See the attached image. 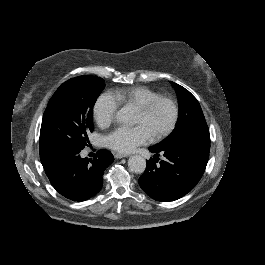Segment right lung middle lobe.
<instances>
[{
    "label": "right lung middle lobe",
    "instance_id": "dd1d6c3e",
    "mask_svg": "<svg viewBox=\"0 0 265 265\" xmlns=\"http://www.w3.org/2000/svg\"><path fill=\"white\" fill-rule=\"evenodd\" d=\"M104 80L79 76L64 82L53 94L43 115L40 160L78 154L94 130L92 111Z\"/></svg>",
    "mask_w": 265,
    "mask_h": 265
}]
</instances>
